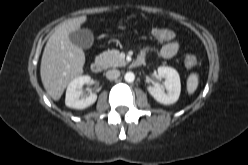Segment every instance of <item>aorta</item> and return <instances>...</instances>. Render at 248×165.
<instances>
[{"instance_id":"obj_1","label":"aorta","mask_w":248,"mask_h":165,"mask_svg":"<svg viewBox=\"0 0 248 165\" xmlns=\"http://www.w3.org/2000/svg\"><path fill=\"white\" fill-rule=\"evenodd\" d=\"M124 79H125L126 82L131 83V82L134 81L135 75H134L133 72H127V73L125 74V76H124Z\"/></svg>"}]
</instances>
